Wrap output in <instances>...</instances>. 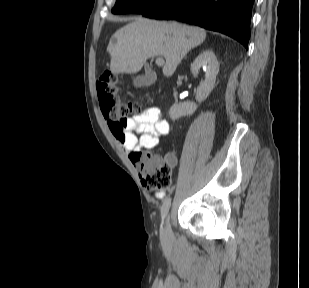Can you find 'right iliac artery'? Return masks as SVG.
<instances>
[{"mask_svg": "<svg viewBox=\"0 0 309 288\" xmlns=\"http://www.w3.org/2000/svg\"><path fill=\"white\" fill-rule=\"evenodd\" d=\"M170 205H171V199L166 198L163 202L162 209H161V215L162 216H164L168 212Z\"/></svg>", "mask_w": 309, "mask_h": 288, "instance_id": "right-iliac-artery-1", "label": "right iliac artery"}]
</instances>
